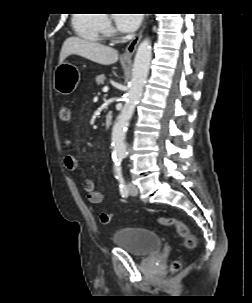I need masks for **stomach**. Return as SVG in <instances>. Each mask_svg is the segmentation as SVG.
I'll return each mask as SVG.
<instances>
[{"label":"stomach","instance_id":"1","mask_svg":"<svg viewBox=\"0 0 252 303\" xmlns=\"http://www.w3.org/2000/svg\"><path fill=\"white\" fill-rule=\"evenodd\" d=\"M80 79L79 69L71 63L63 62L56 67L54 88L62 95H69L77 88Z\"/></svg>","mask_w":252,"mask_h":303}]
</instances>
